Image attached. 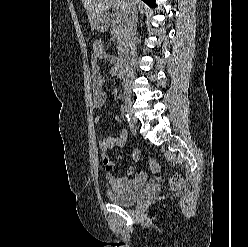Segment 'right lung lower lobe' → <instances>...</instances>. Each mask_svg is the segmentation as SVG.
Segmentation results:
<instances>
[{
  "label": "right lung lower lobe",
  "mask_w": 248,
  "mask_h": 247,
  "mask_svg": "<svg viewBox=\"0 0 248 247\" xmlns=\"http://www.w3.org/2000/svg\"><path fill=\"white\" fill-rule=\"evenodd\" d=\"M149 6H155V0H143Z\"/></svg>",
  "instance_id": "right-lung-lower-lobe-1"
}]
</instances>
